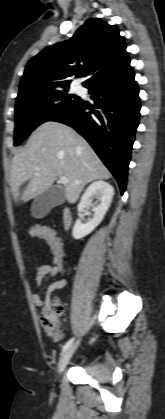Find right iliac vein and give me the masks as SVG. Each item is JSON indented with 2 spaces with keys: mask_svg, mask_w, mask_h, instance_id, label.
I'll return each mask as SVG.
<instances>
[{
  "mask_svg": "<svg viewBox=\"0 0 165 419\" xmlns=\"http://www.w3.org/2000/svg\"><path fill=\"white\" fill-rule=\"evenodd\" d=\"M80 341H77L73 345H71L61 356L59 363L57 365V373L61 375L64 371L66 365L68 364L70 358L72 357L73 353L77 349Z\"/></svg>",
  "mask_w": 165,
  "mask_h": 419,
  "instance_id": "1",
  "label": "right iliac vein"
}]
</instances>
